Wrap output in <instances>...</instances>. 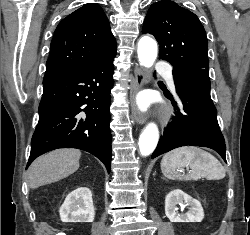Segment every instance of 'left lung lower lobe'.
<instances>
[{
	"mask_svg": "<svg viewBox=\"0 0 250 235\" xmlns=\"http://www.w3.org/2000/svg\"><path fill=\"white\" fill-rule=\"evenodd\" d=\"M174 75L176 92L182 101L173 122L165 129L152 158L181 146L208 147L226 162L225 141L217 121V110L210 96L208 71L193 69Z\"/></svg>",
	"mask_w": 250,
	"mask_h": 235,
	"instance_id": "1",
	"label": "left lung lower lobe"
}]
</instances>
